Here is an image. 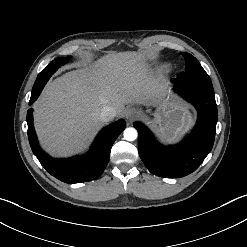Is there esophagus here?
Listing matches in <instances>:
<instances>
[{
    "label": "esophagus",
    "mask_w": 247,
    "mask_h": 247,
    "mask_svg": "<svg viewBox=\"0 0 247 247\" xmlns=\"http://www.w3.org/2000/svg\"><path fill=\"white\" fill-rule=\"evenodd\" d=\"M138 112L135 108L130 107L126 110L125 116L127 120H132L137 116Z\"/></svg>",
    "instance_id": "1"
}]
</instances>
